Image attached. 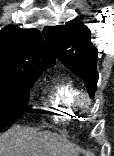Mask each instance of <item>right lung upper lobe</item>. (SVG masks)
I'll return each mask as SVG.
<instances>
[{"label":"right lung upper lobe","instance_id":"obj_1","mask_svg":"<svg viewBox=\"0 0 114 156\" xmlns=\"http://www.w3.org/2000/svg\"><path fill=\"white\" fill-rule=\"evenodd\" d=\"M55 65L37 29L9 25L0 31V75H40Z\"/></svg>","mask_w":114,"mask_h":156}]
</instances>
